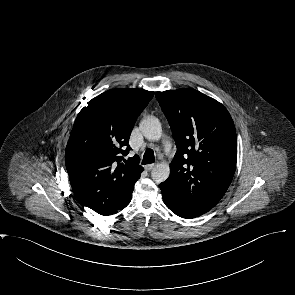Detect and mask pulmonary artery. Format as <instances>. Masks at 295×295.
Wrapping results in <instances>:
<instances>
[{
    "mask_svg": "<svg viewBox=\"0 0 295 295\" xmlns=\"http://www.w3.org/2000/svg\"><path fill=\"white\" fill-rule=\"evenodd\" d=\"M169 147H170V145L168 144V145H167V148H169Z\"/></svg>",
    "mask_w": 295,
    "mask_h": 295,
    "instance_id": "pulmonary-artery-1",
    "label": "pulmonary artery"
}]
</instances>
